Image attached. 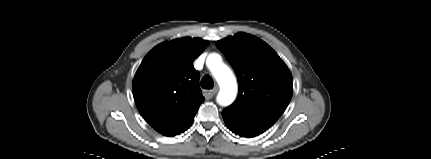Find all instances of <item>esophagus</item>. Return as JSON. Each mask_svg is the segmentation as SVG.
<instances>
[{"label":"esophagus","instance_id":"1","mask_svg":"<svg viewBox=\"0 0 431 159\" xmlns=\"http://www.w3.org/2000/svg\"><path fill=\"white\" fill-rule=\"evenodd\" d=\"M218 90H219L218 86H215L212 90L208 92V95L212 97L218 92Z\"/></svg>","mask_w":431,"mask_h":159}]
</instances>
